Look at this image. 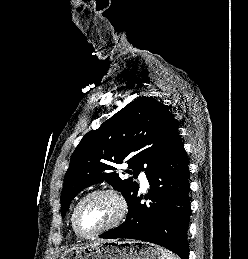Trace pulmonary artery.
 Segmentation results:
<instances>
[{
    "label": "pulmonary artery",
    "instance_id": "e3ab8cb5",
    "mask_svg": "<svg viewBox=\"0 0 248 259\" xmlns=\"http://www.w3.org/2000/svg\"><path fill=\"white\" fill-rule=\"evenodd\" d=\"M139 179L141 181L142 187L143 188H147L148 187V180H147V178H146L144 173L140 174Z\"/></svg>",
    "mask_w": 248,
    "mask_h": 259
}]
</instances>
